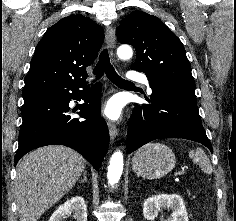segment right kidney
I'll return each mask as SVG.
<instances>
[{
  "instance_id": "1",
  "label": "right kidney",
  "mask_w": 236,
  "mask_h": 221,
  "mask_svg": "<svg viewBox=\"0 0 236 221\" xmlns=\"http://www.w3.org/2000/svg\"><path fill=\"white\" fill-rule=\"evenodd\" d=\"M71 213H74L76 221H87V206L81 196H75L59 206L49 221H62L66 215Z\"/></svg>"
}]
</instances>
